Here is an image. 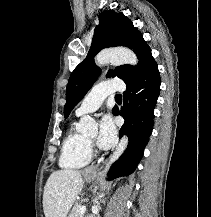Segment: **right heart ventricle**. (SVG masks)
<instances>
[{
    "label": "right heart ventricle",
    "mask_w": 211,
    "mask_h": 217,
    "mask_svg": "<svg viewBox=\"0 0 211 217\" xmlns=\"http://www.w3.org/2000/svg\"><path fill=\"white\" fill-rule=\"evenodd\" d=\"M91 160L90 145L87 138L70 127L63 140L59 165L66 169H78L89 164Z\"/></svg>",
    "instance_id": "obj_1"
}]
</instances>
